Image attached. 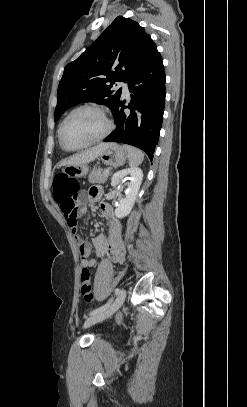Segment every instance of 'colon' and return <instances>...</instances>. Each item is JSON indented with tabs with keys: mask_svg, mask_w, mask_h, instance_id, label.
<instances>
[{
	"mask_svg": "<svg viewBox=\"0 0 247 407\" xmlns=\"http://www.w3.org/2000/svg\"><path fill=\"white\" fill-rule=\"evenodd\" d=\"M80 184L76 179L65 174H57L53 179V198L57 203L65 202L77 195ZM80 291L85 300L91 302L94 299L91 286L90 269L84 267L81 272Z\"/></svg>",
	"mask_w": 247,
	"mask_h": 407,
	"instance_id": "5ec220e1",
	"label": "colon"
}]
</instances>
